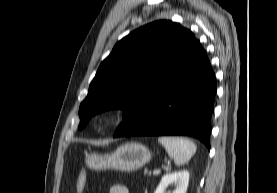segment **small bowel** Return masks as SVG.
Returning <instances> with one entry per match:
<instances>
[{
    "instance_id": "obj_1",
    "label": "small bowel",
    "mask_w": 277,
    "mask_h": 193,
    "mask_svg": "<svg viewBox=\"0 0 277 193\" xmlns=\"http://www.w3.org/2000/svg\"><path fill=\"white\" fill-rule=\"evenodd\" d=\"M108 193H129V191L126 186L116 184L110 187Z\"/></svg>"
}]
</instances>
